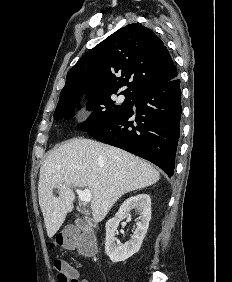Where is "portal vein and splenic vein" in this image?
Instances as JSON below:
<instances>
[{
	"label": "portal vein and splenic vein",
	"mask_w": 232,
	"mask_h": 282,
	"mask_svg": "<svg viewBox=\"0 0 232 282\" xmlns=\"http://www.w3.org/2000/svg\"><path fill=\"white\" fill-rule=\"evenodd\" d=\"M79 199L84 203H89L91 201L92 193L89 189H84L83 191L80 189H75Z\"/></svg>",
	"instance_id": "1"
}]
</instances>
